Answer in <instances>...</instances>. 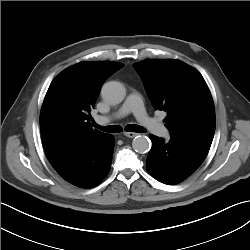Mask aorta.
I'll return each mask as SVG.
<instances>
[{
	"label": "aorta",
	"instance_id": "aorta-1",
	"mask_svg": "<svg viewBox=\"0 0 250 250\" xmlns=\"http://www.w3.org/2000/svg\"><path fill=\"white\" fill-rule=\"evenodd\" d=\"M101 95L106 102L115 105L125 99L126 89L122 83L110 81L103 85ZM150 145V140L143 135L136 136L132 141L133 149L140 154L147 153Z\"/></svg>",
	"mask_w": 250,
	"mask_h": 250
}]
</instances>
